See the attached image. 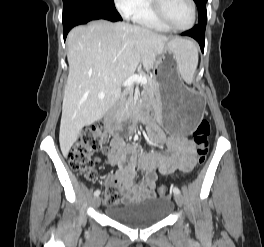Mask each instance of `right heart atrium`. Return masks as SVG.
<instances>
[{
  "instance_id": "obj_1",
  "label": "right heart atrium",
  "mask_w": 264,
  "mask_h": 247,
  "mask_svg": "<svg viewBox=\"0 0 264 247\" xmlns=\"http://www.w3.org/2000/svg\"><path fill=\"white\" fill-rule=\"evenodd\" d=\"M114 3L123 16L129 17L141 6L143 0H114Z\"/></svg>"
}]
</instances>
